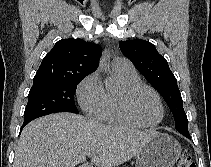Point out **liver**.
<instances>
[{"label":"liver","mask_w":211,"mask_h":167,"mask_svg":"<svg viewBox=\"0 0 211 167\" xmlns=\"http://www.w3.org/2000/svg\"><path fill=\"white\" fill-rule=\"evenodd\" d=\"M154 133L107 126L72 113L51 114L23 129L13 167H75L88 153L93 154L90 165L118 166L137 155Z\"/></svg>","instance_id":"6515ba94"}]
</instances>
